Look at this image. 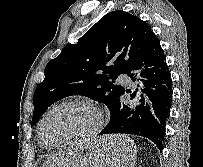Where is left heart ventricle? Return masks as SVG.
<instances>
[{
	"label": "left heart ventricle",
	"instance_id": "b2bd125f",
	"mask_svg": "<svg viewBox=\"0 0 203 167\" xmlns=\"http://www.w3.org/2000/svg\"><path fill=\"white\" fill-rule=\"evenodd\" d=\"M95 122L96 117L88 108L79 105L64 106L46 119L43 137L49 144L74 139L89 131Z\"/></svg>",
	"mask_w": 203,
	"mask_h": 167
}]
</instances>
